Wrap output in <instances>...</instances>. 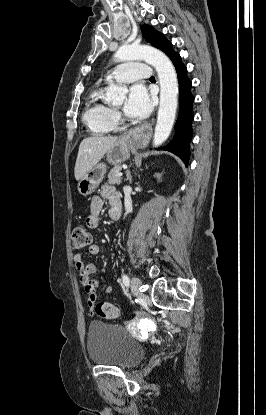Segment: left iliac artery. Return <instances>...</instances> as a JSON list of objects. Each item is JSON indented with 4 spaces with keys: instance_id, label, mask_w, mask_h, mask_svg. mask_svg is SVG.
<instances>
[{
    "instance_id": "left-iliac-artery-1",
    "label": "left iliac artery",
    "mask_w": 266,
    "mask_h": 415,
    "mask_svg": "<svg viewBox=\"0 0 266 415\" xmlns=\"http://www.w3.org/2000/svg\"><path fill=\"white\" fill-rule=\"evenodd\" d=\"M122 281H123V284H124L125 286H129L130 280H129V277H128L126 274H124V275L122 276Z\"/></svg>"
}]
</instances>
